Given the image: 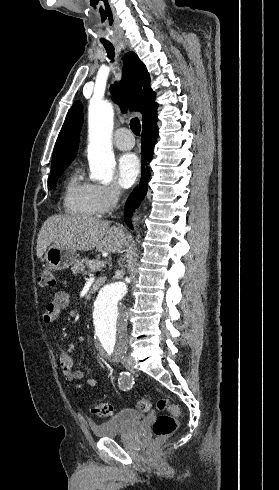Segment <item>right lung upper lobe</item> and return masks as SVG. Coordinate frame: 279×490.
<instances>
[{
  "label": "right lung upper lobe",
  "mask_w": 279,
  "mask_h": 490,
  "mask_svg": "<svg viewBox=\"0 0 279 490\" xmlns=\"http://www.w3.org/2000/svg\"><path fill=\"white\" fill-rule=\"evenodd\" d=\"M122 89L130 109L143 114V130L157 127V103L154 102L155 93L150 88V76L134 52L127 53L124 58ZM110 90L114 100L122 105L120 88L111 86ZM82 122V105L76 101L69 110L56 141L51 170L69 165L75 158Z\"/></svg>",
  "instance_id": "obj_1"
}]
</instances>
